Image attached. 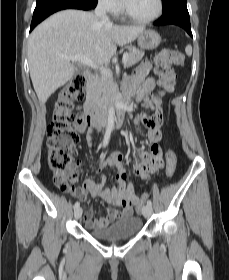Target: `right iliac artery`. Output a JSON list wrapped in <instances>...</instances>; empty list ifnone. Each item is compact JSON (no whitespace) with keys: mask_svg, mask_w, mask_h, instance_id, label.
Wrapping results in <instances>:
<instances>
[{"mask_svg":"<svg viewBox=\"0 0 229 280\" xmlns=\"http://www.w3.org/2000/svg\"><path fill=\"white\" fill-rule=\"evenodd\" d=\"M110 135H111V131L107 130L106 133H105L104 141H103V147L107 146V144L109 142V139H110ZM78 207H80V203L77 201L74 204V208H78Z\"/></svg>","mask_w":229,"mask_h":280,"instance_id":"1","label":"right iliac artery"}]
</instances>
